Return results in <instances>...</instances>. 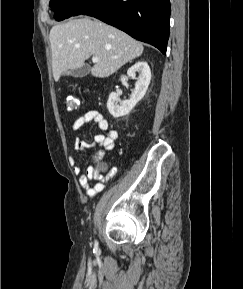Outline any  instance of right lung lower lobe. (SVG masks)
Instances as JSON below:
<instances>
[{"instance_id": "1", "label": "right lung lower lobe", "mask_w": 243, "mask_h": 289, "mask_svg": "<svg viewBox=\"0 0 243 289\" xmlns=\"http://www.w3.org/2000/svg\"><path fill=\"white\" fill-rule=\"evenodd\" d=\"M170 12L169 0H87L72 16L100 19L165 54Z\"/></svg>"}]
</instances>
